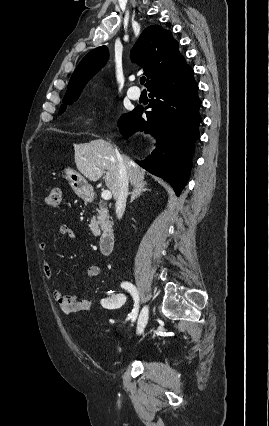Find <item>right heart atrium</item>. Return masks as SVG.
<instances>
[{
	"label": "right heart atrium",
	"mask_w": 269,
	"mask_h": 426,
	"mask_svg": "<svg viewBox=\"0 0 269 426\" xmlns=\"http://www.w3.org/2000/svg\"><path fill=\"white\" fill-rule=\"evenodd\" d=\"M108 115H109V108L106 101L104 100L98 101L93 108L92 123L94 125H101L107 120Z\"/></svg>",
	"instance_id": "1"
}]
</instances>
